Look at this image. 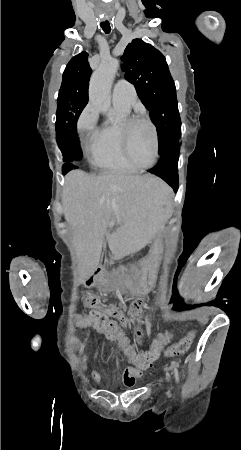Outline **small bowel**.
I'll return each instance as SVG.
<instances>
[{
    "label": "small bowel",
    "mask_w": 241,
    "mask_h": 450,
    "mask_svg": "<svg viewBox=\"0 0 241 450\" xmlns=\"http://www.w3.org/2000/svg\"><path fill=\"white\" fill-rule=\"evenodd\" d=\"M91 286L99 287L102 290H106V291L109 290L110 287H111L109 283L106 282V283L103 284L101 282V285H90V284H87L86 288L90 289ZM85 302H86L87 306L92 307V306H95L96 304H98L99 298L97 296H95V295L89 294V295L86 296ZM129 304L131 305L130 309H131V311H133L132 315L134 317H137V316L144 317L146 315V312L144 310H141L142 307H144V306H146L148 304V301L146 299H144V298H137L136 300L135 299H131L129 301ZM93 311H102L103 316L107 317V324H115V325H116V323L110 319L111 317H114V318H117L119 320H122L123 318H128L129 315H130V312H129L128 309H121L120 312H119L113 306H101L99 309H94ZM115 333H122V332L117 327V331ZM102 334L106 337V335L108 333H102ZM136 334H137V341H138V343L142 344V339H143V331H142V329L138 328ZM171 337L172 336H167V338H169V339H171ZM99 340H101V339H99ZM80 349H81V347H80ZM140 375H141V372L138 369H134L132 367L126 368L125 372H124V384H125V386L132 387L134 385L135 378L139 377Z\"/></svg>",
    "instance_id": "obj_1"
}]
</instances>
